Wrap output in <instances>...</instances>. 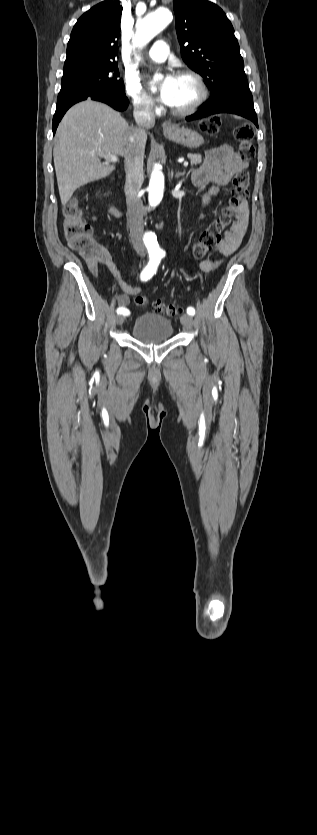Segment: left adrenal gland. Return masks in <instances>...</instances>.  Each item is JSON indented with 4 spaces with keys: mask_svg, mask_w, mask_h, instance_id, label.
Here are the masks:
<instances>
[{
    "mask_svg": "<svg viewBox=\"0 0 317 835\" xmlns=\"http://www.w3.org/2000/svg\"><path fill=\"white\" fill-rule=\"evenodd\" d=\"M184 174H185V172H177L175 176H176V178H179L181 176H184Z\"/></svg>",
    "mask_w": 317,
    "mask_h": 835,
    "instance_id": "obj_1",
    "label": "left adrenal gland"
}]
</instances>
